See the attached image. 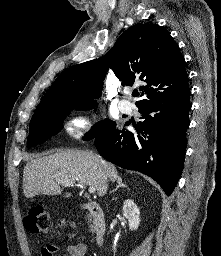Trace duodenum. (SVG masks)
I'll list each match as a JSON object with an SVG mask.
<instances>
[{
    "mask_svg": "<svg viewBox=\"0 0 221 256\" xmlns=\"http://www.w3.org/2000/svg\"><path fill=\"white\" fill-rule=\"evenodd\" d=\"M88 211L92 221V233L98 245H102L106 234V221L101 206L96 202H88L82 205Z\"/></svg>",
    "mask_w": 221,
    "mask_h": 256,
    "instance_id": "duodenum-1",
    "label": "duodenum"
}]
</instances>
